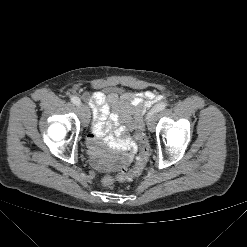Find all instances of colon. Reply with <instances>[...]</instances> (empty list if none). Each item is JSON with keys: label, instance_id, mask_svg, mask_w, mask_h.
I'll return each instance as SVG.
<instances>
[{"label": "colon", "instance_id": "5ec220e1", "mask_svg": "<svg viewBox=\"0 0 247 247\" xmlns=\"http://www.w3.org/2000/svg\"><path fill=\"white\" fill-rule=\"evenodd\" d=\"M135 136L140 143V152L137 156L135 165L129 171H121L116 177L106 176L103 179V184L105 186H111L114 182L117 181H131L137 178L146 165L148 156H149V145L147 138L142 131V129H138L135 132Z\"/></svg>", "mask_w": 247, "mask_h": 247}]
</instances>
